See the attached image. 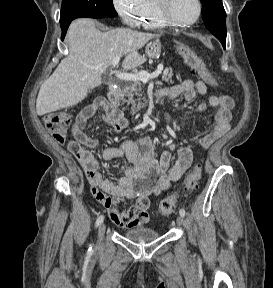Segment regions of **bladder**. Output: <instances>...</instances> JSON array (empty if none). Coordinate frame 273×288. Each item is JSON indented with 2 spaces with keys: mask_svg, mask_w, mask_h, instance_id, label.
Here are the masks:
<instances>
[{
  "mask_svg": "<svg viewBox=\"0 0 273 288\" xmlns=\"http://www.w3.org/2000/svg\"><path fill=\"white\" fill-rule=\"evenodd\" d=\"M123 236L132 242H150L158 238L159 232L149 227L140 226L124 232Z\"/></svg>",
  "mask_w": 273,
  "mask_h": 288,
  "instance_id": "31cf9c89",
  "label": "bladder"
}]
</instances>
